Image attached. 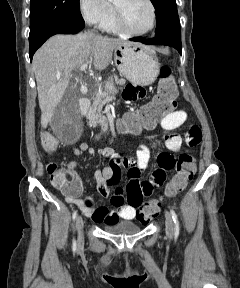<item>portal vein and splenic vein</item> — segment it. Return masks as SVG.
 <instances>
[{
    "label": "portal vein and splenic vein",
    "mask_w": 240,
    "mask_h": 288,
    "mask_svg": "<svg viewBox=\"0 0 240 288\" xmlns=\"http://www.w3.org/2000/svg\"><path fill=\"white\" fill-rule=\"evenodd\" d=\"M88 68V64L85 63L83 65H81V67L79 68L80 71H85Z\"/></svg>",
    "instance_id": "portal-vein-and-splenic-vein-1"
}]
</instances>
